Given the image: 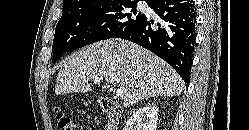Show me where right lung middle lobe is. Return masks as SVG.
I'll use <instances>...</instances> for the list:
<instances>
[{
	"mask_svg": "<svg viewBox=\"0 0 249 130\" xmlns=\"http://www.w3.org/2000/svg\"><path fill=\"white\" fill-rule=\"evenodd\" d=\"M137 2L109 1L63 12L53 40V63L68 51L120 37L144 17L136 11Z\"/></svg>",
	"mask_w": 249,
	"mask_h": 130,
	"instance_id": "obj_1",
	"label": "right lung middle lobe"
}]
</instances>
